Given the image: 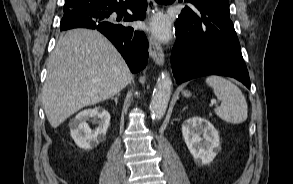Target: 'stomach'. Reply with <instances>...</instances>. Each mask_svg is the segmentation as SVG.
<instances>
[{"label":"stomach","instance_id":"1","mask_svg":"<svg viewBox=\"0 0 293 184\" xmlns=\"http://www.w3.org/2000/svg\"><path fill=\"white\" fill-rule=\"evenodd\" d=\"M183 95H184L185 97H189V96L191 95V93H190L189 91H184V92H183Z\"/></svg>","mask_w":293,"mask_h":184}]
</instances>
